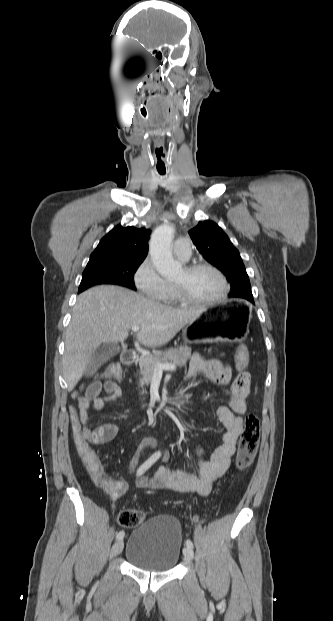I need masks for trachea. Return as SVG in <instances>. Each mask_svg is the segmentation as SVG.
<instances>
[{"label":"trachea","instance_id":"1","mask_svg":"<svg viewBox=\"0 0 333 621\" xmlns=\"http://www.w3.org/2000/svg\"><path fill=\"white\" fill-rule=\"evenodd\" d=\"M159 173H160V175H165V172H159Z\"/></svg>","mask_w":333,"mask_h":621}]
</instances>
